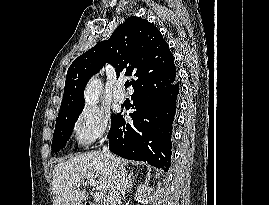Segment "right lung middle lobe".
Returning a JSON list of instances; mask_svg holds the SVG:
<instances>
[{
  "label": "right lung middle lobe",
  "mask_w": 269,
  "mask_h": 205,
  "mask_svg": "<svg viewBox=\"0 0 269 205\" xmlns=\"http://www.w3.org/2000/svg\"><path fill=\"white\" fill-rule=\"evenodd\" d=\"M82 111V110H81ZM81 111L58 118L56 120L55 131L52 140V151L58 152L65 147L73 131L75 122L77 121ZM117 117L114 116L112 121ZM111 121V122H112Z\"/></svg>",
  "instance_id": "right-lung-middle-lobe-1"
}]
</instances>
